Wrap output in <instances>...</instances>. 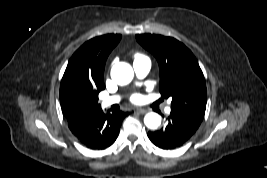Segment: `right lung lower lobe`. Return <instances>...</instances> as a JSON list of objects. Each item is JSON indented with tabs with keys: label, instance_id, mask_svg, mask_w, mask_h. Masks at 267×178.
<instances>
[{
	"label": "right lung lower lobe",
	"instance_id": "right-lung-lower-lobe-1",
	"mask_svg": "<svg viewBox=\"0 0 267 178\" xmlns=\"http://www.w3.org/2000/svg\"><path fill=\"white\" fill-rule=\"evenodd\" d=\"M128 113L118 109L104 113L101 108L77 111L65 116L68 127L84 146L101 150L111 146Z\"/></svg>",
	"mask_w": 267,
	"mask_h": 178
}]
</instances>
